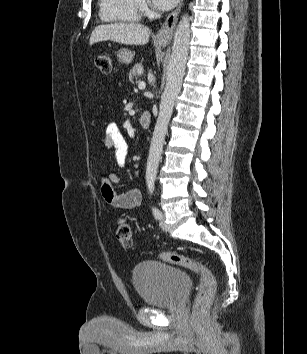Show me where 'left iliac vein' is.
I'll use <instances>...</instances> for the list:
<instances>
[{"mask_svg": "<svg viewBox=\"0 0 307 354\" xmlns=\"http://www.w3.org/2000/svg\"><path fill=\"white\" fill-rule=\"evenodd\" d=\"M159 225L163 231H168V227L165 223L164 216L161 214Z\"/></svg>", "mask_w": 307, "mask_h": 354, "instance_id": "left-iliac-vein-1", "label": "left iliac vein"}]
</instances>
